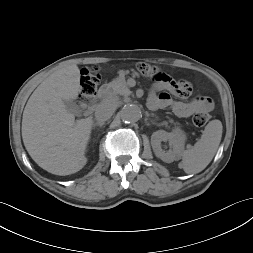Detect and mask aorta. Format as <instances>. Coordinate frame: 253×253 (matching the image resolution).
Wrapping results in <instances>:
<instances>
[{"label": "aorta", "instance_id": "aorta-1", "mask_svg": "<svg viewBox=\"0 0 253 253\" xmlns=\"http://www.w3.org/2000/svg\"><path fill=\"white\" fill-rule=\"evenodd\" d=\"M141 109L136 104H126L120 112L121 119L127 123H135L141 117Z\"/></svg>", "mask_w": 253, "mask_h": 253}]
</instances>
